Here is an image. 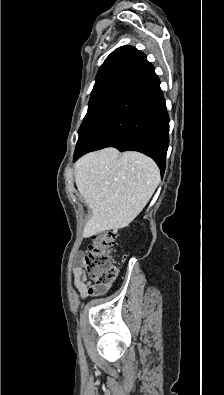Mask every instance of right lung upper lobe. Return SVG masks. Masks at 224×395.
Here are the masks:
<instances>
[{"label":"right lung upper lobe","mask_w":224,"mask_h":395,"mask_svg":"<svg viewBox=\"0 0 224 395\" xmlns=\"http://www.w3.org/2000/svg\"><path fill=\"white\" fill-rule=\"evenodd\" d=\"M138 50L132 46H122L114 50L98 70L96 79L109 73L119 71Z\"/></svg>","instance_id":"cb5924a9"}]
</instances>
